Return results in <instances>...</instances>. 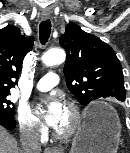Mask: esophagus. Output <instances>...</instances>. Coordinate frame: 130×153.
I'll return each mask as SVG.
<instances>
[{
    "mask_svg": "<svg viewBox=\"0 0 130 153\" xmlns=\"http://www.w3.org/2000/svg\"><path fill=\"white\" fill-rule=\"evenodd\" d=\"M42 19L46 20L49 18V14H42ZM45 153H57L58 151L54 148H51V147H47L45 148Z\"/></svg>",
    "mask_w": 130,
    "mask_h": 153,
    "instance_id": "34e87169",
    "label": "esophagus"
}]
</instances>
